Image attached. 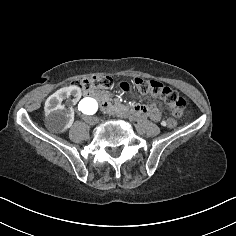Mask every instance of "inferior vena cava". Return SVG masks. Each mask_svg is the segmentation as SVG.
I'll return each mask as SVG.
<instances>
[{
	"mask_svg": "<svg viewBox=\"0 0 236 236\" xmlns=\"http://www.w3.org/2000/svg\"><path fill=\"white\" fill-rule=\"evenodd\" d=\"M84 119V122L88 123V125H95L98 123V117H86L85 115L82 117Z\"/></svg>",
	"mask_w": 236,
	"mask_h": 236,
	"instance_id": "1",
	"label": "inferior vena cava"
}]
</instances>
